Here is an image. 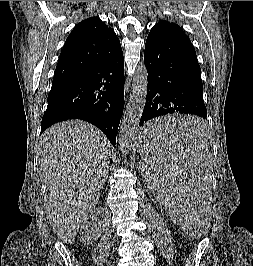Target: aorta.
Wrapping results in <instances>:
<instances>
[{
	"label": "aorta",
	"instance_id": "aorta-1",
	"mask_svg": "<svg viewBox=\"0 0 253 266\" xmlns=\"http://www.w3.org/2000/svg\"><path fill=\"white\" fill-rule=\"evenodd\" d=\"M148 72L145 65L137 67L132 82L129 103L123 116L119 132V148L122 154L127 155L137 132L146 102Z\"/></svg>",
	"mask_w": 253,
	"mask_h": 266
}]
</instances>
